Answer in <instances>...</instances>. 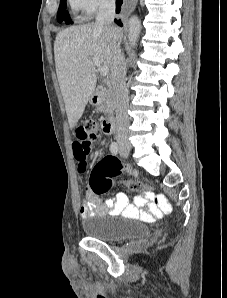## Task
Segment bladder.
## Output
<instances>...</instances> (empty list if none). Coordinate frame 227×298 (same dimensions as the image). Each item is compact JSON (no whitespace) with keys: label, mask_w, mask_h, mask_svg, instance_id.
I'll return each instance as SVG.
<instances>
[{"label":"bladder","mask_w":227,"mask_h":298,"mask_svg":"<svg viewBox=\"0 0 227 298\" xmlns=\"http://www.w3.org/2000/svg\"><path fill=\"white\" fill-rule=\"evenodd\" d=\"M87 237L106 243H118L146 238L150 235L147 225L132 219H107L97 216L83 223Z\"/></svg>","instance_id":"31cf9c89"}]
</instances>
